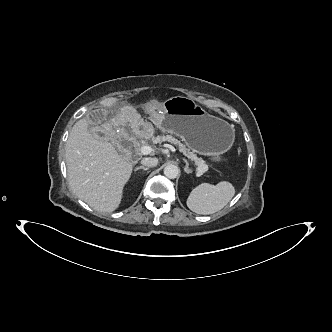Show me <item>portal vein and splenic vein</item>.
<instances>
[{"instance_id": "18ae733b", "label": "portal vein and splenic vein", "mask_w": 332, "mask_h": 332, "mask_svg": "<svg viewBox=\"0 0 332 332\" xmlns=\"http://www.w3.org/2000/svg\"><path fill=\"white\" fill-rule=\"evenodd\" d=\"M167 147H168L172 152H175V148H174L172 145H168ZM151 152H152V148H151L150 146H142V147H141V153H142L143 155H148V154H150ZM183 154L186 155L185 153H183ZM203 173H204V170L199 169V170L196 171V176H197V177H200Z\"/></svg>"}]
</instances>
